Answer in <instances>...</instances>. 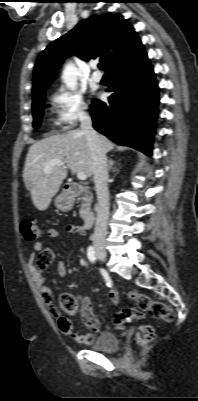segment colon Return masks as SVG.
<instances>
[{"label":"colon","mask_w":198,"mask_h":401,"mask_svg":"<svg viewBox=\"0 0 198 401\" xmlns=\"http://www.w3.org/2000/svg\"><path fill=\"white\" fill-rule=\"evenodd\" d=\"M20 230L22 235L30 241L36 240L40 235V229L33 218L23 217L20 220ZM131 300L135 301L137 307H126L122 311L114 315V324L123 326L127 322L142 317L144 313H148L154 318L169 322L173 319L172 309L164 302L154 300L151 297L138 293L131 292L129 294ZM77 304L74 298L69 294H62L58 304L50 305L51 312L60 316L62 312H72L76 309ZM154 339V331L150 326H142L137 333V343L145 348Z\"/></svg>","instance_id":"obj_1"}]
</instances>
